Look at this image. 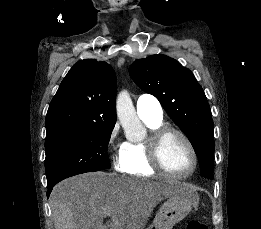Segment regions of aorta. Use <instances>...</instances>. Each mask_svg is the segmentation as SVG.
<instances>
[{
	"label": "aorta",
	"mask_w": 261,
	"mask_h": 229,
	"mask_svg": "<svg viewBox=\"0 0 261 229\" xmlns=\"http://www.w3.org/2000/svg\"><path fill=\"white\" fill-rule=\"evenodd\" d=\"M117 117L126 135L130 133L135 139H144L145 131L136 115V110L128 90H121L116 98ZM139 129H136V127Z\"/></svg>",
	"instance_id": "762f6f07"
}]
</instances>
